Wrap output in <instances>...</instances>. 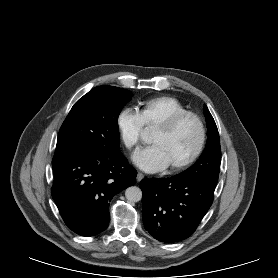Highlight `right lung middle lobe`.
Masks as SVG:
<instances>
[{
    "mask_svg": "<svg viewBox=\"0 0 278 278\" xmlns=\"http://www.w3.org/2000/svg\"><path fill=\"white\" fill-rule=\"evenodd\" d=\"M131 97L128 90L114 86H98L85 94L60 128L54 158L119 149L118 116Z\"/></svg>",
    "mask_w": 278,
    "mask_h": 278,
    "instance_id": "dd1d6c3e",
    "label": "right lung middle lobe"
}]
</instances>
